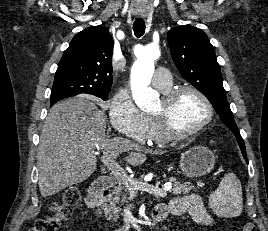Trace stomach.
<instances>
[{"label":"stomach","instance_id":"0dacf381","mask_svg":"<svg viewBox=\"0 0 268 231\" xmlns=\"http://www.w3.org/2000/svg\"><path fill=\"white\" fill-rule=\"evenodd\" d=\"M214 153L204 146H194L181 154L180 169L187 177H200L208 174L215 165Z\"/></svg>","mask_w":268,"mask_h":231}]
</instances>
